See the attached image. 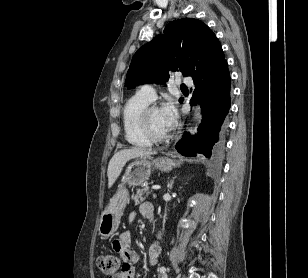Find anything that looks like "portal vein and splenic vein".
<instances>
[{
  "instance_id": "portal-vein-and-splenic-vein-1",
  "label": "portal vein and splenic vein",
  "mask_w": 308,
  "mask_h": 278,
  "mask_svg": "<svg viewBox=\"0 0 308 278\" xmlns=\"http://www.w3.org/2000/svg\"><path fill=\"white\" fill-rule=\"evenodd\" d=\"M152 189L153 190H158V189H160V186L159 185H154V186H152Z\"/></svg>"
}]
</instances>
